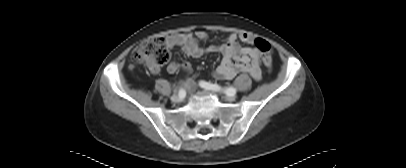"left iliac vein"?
Here are the masks:
<instances>
[{
  "mask_svg": "<svg viewBox=\"0 0 406 168\" xmlns=\"http://www.w3.org/2000/svg\"><path fill=\"white\" fill-rule=\"evenodd\" d=\"M210 92L215 93L214 91H210ZM225 99H226L227 101L232 102V101H234V100L236 99V95H235V94H233V95H226V96H225Z\"/></svg>",
  "mask_w": 406,
  "mask_h": 168,
  "instance_id": "4c4485c4",
  "label": "left iliac vein"
}]
</instances>
